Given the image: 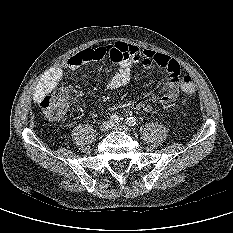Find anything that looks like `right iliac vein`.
<instances>
[{
	"label": "right iliac vein",
	"mask_w": 233,
	"mask_h": 233,
	"mask_svg": "<svg viewBox=\"0 0 233 233\" xmlns=\"http://www.w3.org/2000/svg\"><path fill=\"white\" fill-rule=\"evenodd\" d=\"M111 126H112L111 121H104L100 126V131L101 132L108 131L111 128Z\"/></svg>",
	"instance_id": "obj_1"
}]
</instances>
